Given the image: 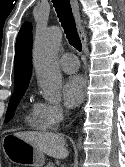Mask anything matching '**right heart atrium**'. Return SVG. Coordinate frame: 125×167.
I'll return each instance as SVG.
<instances>
[{"label": "right heart atrium", "mask_w": 125, "mask_h": 167, "mask_svg": "<svg viewBox=\"0 0 125 167\" xmlns=\"http://www.w3.org/2000/svg\"><path fill=\"white\" fill-rule=\"evenodd\" d=\"M40 112L46 123L51 127L59 126L65 119V109L60 104L38 103Z\"/></svg>", "instance_id": "d8ad5b80"}]
</instances>
